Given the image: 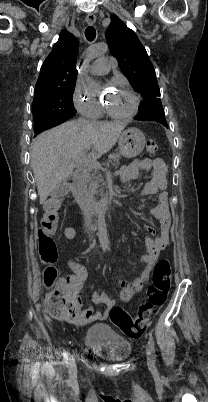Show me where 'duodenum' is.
<instances>
[{
  "label": "duodenum",
  "instance_id": "obj_1",
  "mask_svg": "<svg viewBox=\"0 0 208 402\" xmlns=\"http://www.w3.org/2000/svg\"><path fill=\"white\" fill-rule=\"evenodd\" d=\"M83 175L75 174L71 178V190L80 206L87 212L100 214L113 202V195H109L99 201L94 200L84 190Z\"/></svg>",
  "mask_w": 208,
  "mask_h": 402
}]
</instances>
